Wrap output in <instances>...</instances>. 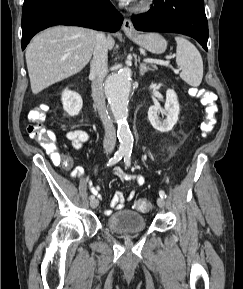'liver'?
<instances>
[{
	"label": "liver",
	"mask_w": 243,
	"mask_h": 289,
	"mask_svg": "<svg viewBox=\"0 0 243 289\" xmlns=\"http://www.w3.org/2000/svg\"><path fill=\"white\" fill-rule=\"evenodd\" d=\"M97 33L76 26L48 28L32 39L26 48V64L33 94L80 72L90 61ZM108 48L114 39L108 37Z\"/></svg>",
	"instance_id": "obj_1"
}]
</instances>
